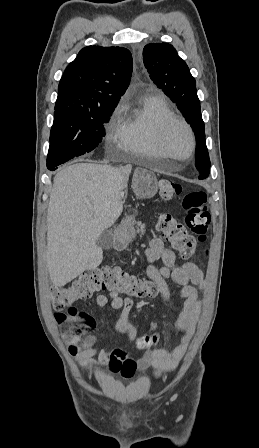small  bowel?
<instances>
[{"label":"small bowel","mask_w":259,"mask_h":448,"mask_svg":"<svg viewBox=\"0 0 259 448\" xmlns=\"http://www.w3.org/2000/svg\"><path fill=\"white\" fill-rule=\"evenodd\" d=\"M147 258L150 262L147 269L148 276L162 298L167 301L171 299L167 280H171L179 288L183 303L175 327L182 332V336L172 350L160 347L149 348L137 360L128 357L121 349L108 351L95 345L93 336L86 338L81 344H69V354L80 365L94 370L102 383H107L111 375L117 374L123 379H130L137 371H144L149 368L153 369L157 375L172 371L184 356L195 332V325L202 307L197 288H203L205 283L202 271L193 262H185L181 266L176 265L175 253L165 247L160 238H154L151 241L147 250ZM157 260L162 261V267L157 268L153 265ZM96 303L100 307L110 306L113 309L120 310L116 330L120 333H126L130 340L137 338V329L129 321V315L133 307V300L130 297L100 294L96 297ZM156 328L157 324L152 323L151 329L155 330Z\"/></svg>","instance_id":"c3829d8e"}]
</instances>
